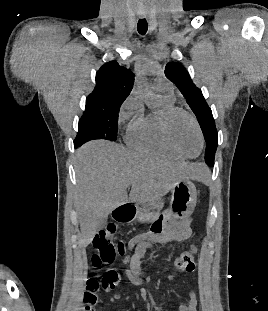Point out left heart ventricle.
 <instances>
[{"instance_id": "left-heart-ventricle-1", "label": "left heart ventricle", "mask_w": 268, "mask_h": 311, "mask_svg": "<svg viewBox=\"0 0 268 311\" xmlns=\"http://www.w3.org/2000/svg\"><path fill=\"white\" fill-rule=\"evenodd\" d=\"M172 136L177 146L189 155H196L200 138L192 121L184 114H178L172 121Z\"/></svg>"}]
</instances>
